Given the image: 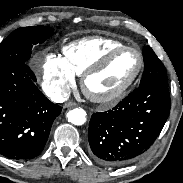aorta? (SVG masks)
<instances>
[{
    "mask_svg": "<svg viewBox=\"0 0 183 183\" xmlns=\"http://www.w3.org/2000/svg\"><path fill=\"white\" fill-rule=\"evenodd\" d=\"M67 118L74 125H83L86 122V112L82 108H75L67 113Z\"/></svg>",
    "mask_w": 183,
    "mask_h": 183,
    "instance_id": "aorta-1",
    "label": "aorta"
}]
</instances>
